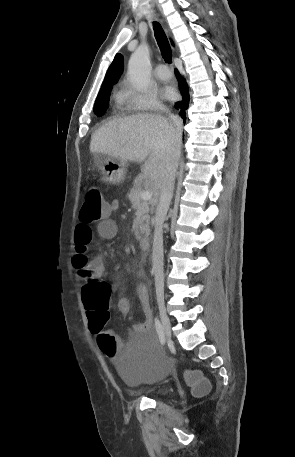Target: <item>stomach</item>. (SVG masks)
Instances as JSON below:
<instances>
[{
	"label": "stomach",
	"instance_id": "obj_1",
	"mask_svg": "<svg viewBox=\"0 0 295 457\" xmlns=\"http://www.w3.org/2000/svg\"><path fill=\"white\" fill-rule=\"evenodd\" d=\"M97 158L102 161L100 169L106 182L116 185L124 180L127 171L126 161L110 156L105 157L102 154H97Z\"/></svg>",
	"mask_w": 295,
	"mask_h": 457
}]
</instances>
